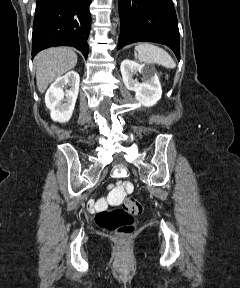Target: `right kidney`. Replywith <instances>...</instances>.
Masks as SVG:
<instances>
[{
    "mask_svg": "<svg viewBox=\"0 0 240 288\" xmlns=\"http://www.w3.org/2000/svg\"><path fill=\"white\" fill-rule=\"evenodd\" d=\"M79 83L80 77L75 71L58 77L52 83L45 95V104L50 110L52 120L67 122L71 118L79 92ZM66 85L71 88L64 92L63 87Z\"/></svg>",
    "mask_w": 240,
    "mask_h": 288,
    "instance_id": "obj_1",
    "label": "right kidney"
}]
</instances>
